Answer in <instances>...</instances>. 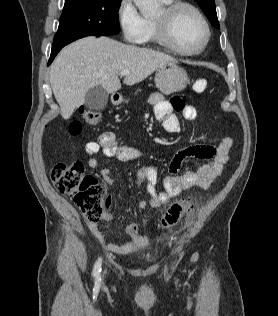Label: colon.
Returning <instances> with one entry per match:
<instances>
[{"label": "colon", "instance_id": "1", "mask_svg": "<svg viewBox=\"0 0 278 316\" xmlns=\"http://www.w3.org/2000/svg\"><path fill=\"white\" fill-rule=\"evenodd\" d=\"M192 88L196 93H202L207 88V81L197 79ZM81 115L84 121L90 125H95L101 120V113L98 111L83 110ZM70 130L73 134H78L81 131V123L74 121ZM50 178L54 187L61 194L74 201L89 223L97 224L100 221L104 211L106 189L95 177L86 173L81 162L55 165ZM191 207L192 201L189 198L173 203L159 218L158 226L168 229L177 225Z\"/></svg>", "mask_w": 278, "mask_h": 316}]
</instances>
